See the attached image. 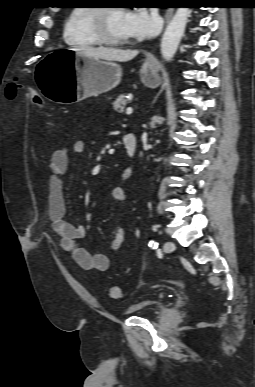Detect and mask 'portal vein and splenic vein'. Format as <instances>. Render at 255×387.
Returning <instances> with one entry per match:
<instances>
[{"label": "portal vein and splenic vein", "instance_id": "1", "mask_svg": "<svg viewBox=\"0 0 255 387\" xmlns=\"http://www.w3.org/2000/svg\"><path fill=\"white\" fill-rule=\"evenodd\" d=\"M132 112H133V108L132 107H128L126 109V114L130 115V114H132Z\"/></svg>", "mask_w": 255, "mask_h": 387}]
</instances>
